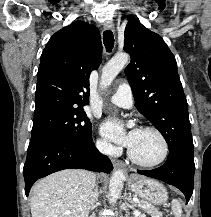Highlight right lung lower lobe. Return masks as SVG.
<instances>
[{"label": "right lung lower lobe", "instance_id": "98d812e1", "mask_svg": "<svg viewBox=\"0 0 211 217\" xmlns=\"http://www.w3.org/2000/svg\"><path fill=\"white\" fill-rule=\"evenodd\" d=\"M64 169L109 173L113 165L92 141L80 145L54 136H33L23 168L26 196L36 180Z\"/></svg>", "mask_w": 211, "mask_h": 217}]
</instances>
